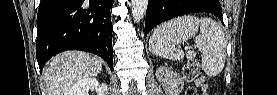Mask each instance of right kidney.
<instances>
[{"mask_svg":"<svg viewBox=\"0 0 277 95\" xmlns=\"http://www.w3.org/2000/svg\"><path fill=\"white\" fill-rule=\"evenodd\" d=\"M90 89H95L98 95H104L107 91V86L105 84L100 85L95 78L90 77L78 81L69 91L68 95H88Z\"/></svg>","mask_w":277,"mask_h":95,"instance_id":"right-kidney-1","label":"right kidney"}]
</instances>
